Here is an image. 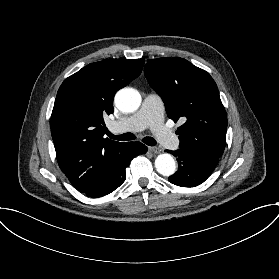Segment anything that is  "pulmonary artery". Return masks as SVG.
Masks as SVG:
<instances>
[{
    "label": "pulmonary artery",
    "mask_w": 279,
    "mask_h": 279,
    "mask_svg": "<svg viewBox=\"0 0 279 279\" xmlns=\"http://www.w3.org/2000/svg\"><path fill=\"white\" fill-rule=\"evenodd\" d=\"M164 116L165 111L162 107L161 96L156 92H151L145 96L142 107L135 116L112 120L110 129L114 133H119L151 127L162 145L167 146L170 150H175L179 146V141L162 125Z\"/></svg>",
    "instance_id": "e3ab8cb5"
}]
</instances>
